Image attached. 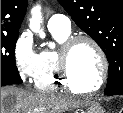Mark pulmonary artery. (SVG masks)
<instances>
[{
	"mask_svg": "<svg viewBox=\"0 0 123 113\" xmlns=\"http://www.w3.org/2000/svg\"><path fill=\"white\" fill-rule=\"evenodd\" d=\"M47 25L50 31L69 32L71 30L70 19L62 14H55L51 16Z\"/></svg>",
	"mask_w": 123,
	"mask_h": 113,
	"instance_id": "pulmonary-artery-1",
	"label": "pulmonary artery"
}]
</instances>
